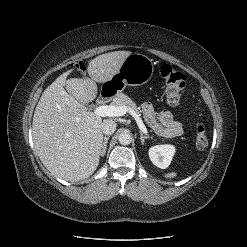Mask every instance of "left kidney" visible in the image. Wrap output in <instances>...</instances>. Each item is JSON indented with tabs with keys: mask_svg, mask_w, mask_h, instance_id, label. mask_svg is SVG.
Returning <instances> with one entry per match:
<instances>
[{
	"mask_svg": "<svg viewBox=\"0 0 247 247\" xmlns=\"http://www.w3.org/2000/svg\"><path fill=\"white\" fill-rule=\"evenodd\" d=\"M175 154V147L173 145H156L149 149V158L152 163L158 168H167Z\"/></svg>",
	"mask_w": 247,
	"mask_h": 247,
	"instance_id": "obj_1",
	"label": "left kidney"
}]
</instances>
